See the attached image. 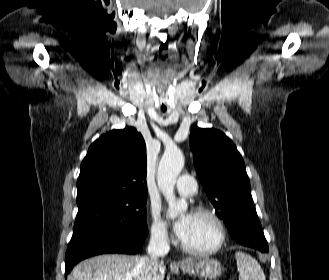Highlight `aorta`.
Instances as JSON below:
<instances>
[{"label": "aorta", "instance_id": "aorta-1", "mask_svg": "<svg viewBox=\"0 0 329 280\" xmlns=\"http://www.w3.org/2000/svg\"><path fill=\"white\" fill-rule=\"evenodd\" d=\"M184 166V156L177 147L167 148L160 160L157 171V184L168 202L169 217L184 213L187 210L185 200H177L174 194L176 180Z\"/></svg>", "mask_w": 329, "mask_h": 280}]
</instances>
